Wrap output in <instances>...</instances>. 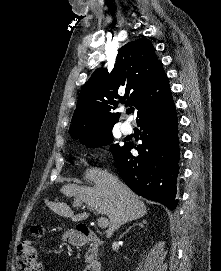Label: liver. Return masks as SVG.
I'll use <instances>...</instances> for the list:
<instances>
[{
    "mask_svg": "<svg viewBox=\"0 0 221 271\" xmlns=\"http://www.w3.org/2000/svg\"><path fill=\"white\" fill-rule=\"evenodd\" d=\"M85 177L94 181V187H80V185H74V183H66L61 191L66 195H75L79 205H82L85 201L86 207L108 215L110 223L106 231L107 237H111L123 223L140 219L147 213V207L141 201V197L133 193L125 183L120 181L117 175L109 173L107 169L91 167V169L85 171ZM47 205L55 213H59L63 217H71L72 221H82L90 215L87 211L74 213L67 203L47 201Z\"/></svg>",
    "mask_w": 221,
    "mask_h": 271,
    "instance_id": "1",
    "label": "liver"
}]
</instances>
